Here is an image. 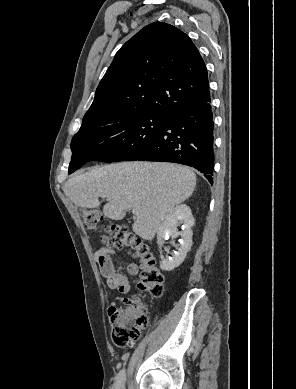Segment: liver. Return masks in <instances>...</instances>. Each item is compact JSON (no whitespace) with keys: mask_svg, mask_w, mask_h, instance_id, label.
Wrapping results in <instances>:
<instances>
[{"mask_svg":"<svg viewBox=\"0 0 296 389\" xmlns=\"http://www.w3.org/2000/svg\"><path fill=\"white\" fill-rule=\"evenodd\" d=\"M196 186V175L188 167L161 162H125L94 167L75 174L63 186L76 206L97 208L106 198L105 217L122 220L135 209L132 229L152 240L161 222L175 206L188 199Z\"/></svg>","mask_w":296,"mask_h":389,"instance_id":"6515ba94","label":"liver"}]
</instances>
